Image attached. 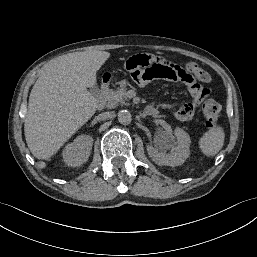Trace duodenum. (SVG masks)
Segmentation results:
<instances>
[{"label": "duodenum", "instance_id": "410a0bca", "mask_svg": "<svg viewBox=\"0 0 257 257\" xmlns=\"http://www.w3.org/2000/svg\"><path fill=\"white\" fill-rule=\"evenodd\" d=\"M109 89H110V78L107 77L102 82L100 95L96 103V107L98 110L103 109ZM144 113L148 116H156L157 109L154 106L149 105L145 108Z\"/></svg>", "mask_w": 257, "mask_h": 257}]
</instances>
